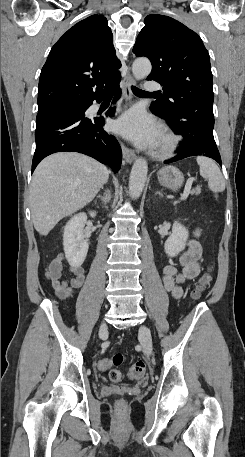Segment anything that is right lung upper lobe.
<instances>
[{"label":"right lung upper lobe","mask_w":245,"mask_h":457,"mask_svg":"<svg viewBox=\"0 0 245 457\" xmlns=\"http://www.w3.org/2000/svg\"><path fill=\"white\" fill-rule=\"evenodd\" d=\"M120 67L106 18L89 16L52 47L40 74L38 111L107 90L121 79Z\"/></svg>","instance_id":"cb5924a9"}]
</instances>
